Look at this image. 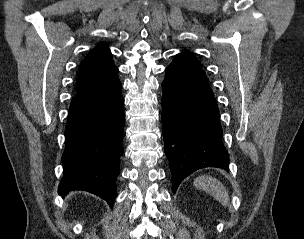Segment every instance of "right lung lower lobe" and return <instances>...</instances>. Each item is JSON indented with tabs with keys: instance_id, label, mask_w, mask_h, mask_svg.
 <instances>
[{
	"instance_id": "1",
	"label": "right lung lower lobe",
	"mask_w": 304,
	"mask_h": 239,
	"mask_svg": "<svg viewBox=\"0 0 304 239\" xmlns=\"http://www.w3.org/2000/svg\"><path fill=\"white\" fill-rule=\"evenodd\" d=\"M118 69L96 85L77 93L69 108L58 192L85 190L106 200L117 196L116 178L123 154L124 99Z\"/></svg>"
}]
</instances>
